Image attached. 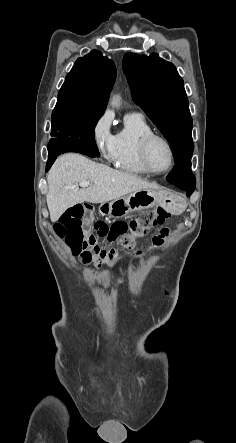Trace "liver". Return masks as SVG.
<instances>
[{
    "label": "liver",
    "instance_id": "1",
    "mask_svg": "<svg viewBox=\"0 0 236 443\" xmlns=\"http://www.w3.org/2000/svg\"><path fill=\"white\" fill-rule=\"evenodd\" d=\"M89 181L88 188H73ZM46 196L50 219L58 221L66 209L83 202L107 203L143 189H158L138 176L120 172L93 162L79 154H64L57 158L48 176Z\"/></svg>",
    "mask_w": 236,
    "mask_h": 443
}]
</instances>
